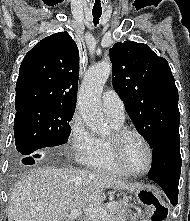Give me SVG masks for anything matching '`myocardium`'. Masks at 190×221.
Instances as JSON below:
<instances>
[{
    "mask_svg": "<svg viewBox=\"0 0 190 221\" xmlns=\"http://www.w3.org/2000/svg\"><path fill=\"white\" fill-rule=\"evenodd\" d=\"M128 135H135L137 136L146 146L148 151V164L147 167L143 171H133L128 168L123 160L122 157V143L126 136ZM108 142L111 149V153L116 164L126 173L132 176H142L147 174L153 165L154 161V152L153 148L146 138L144 134L134 128L130 127H121L119 129L113 130L112 133L108 136Z\"/></svg>",
    "mask_w": 190,
    "mask_h": 221,
    "instance_id": "1",
    "label": "myocardium"
}]
</instances>
